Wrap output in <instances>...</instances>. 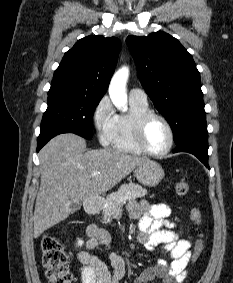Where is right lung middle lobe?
Here are the masks:
<instances>
[{
	"label": "right lung middle lobe",
	"mask_w": 233,
	"mask_h": 283,
	"mask_svg": "<svg viewBox=\"0 0 233 283\" xmlns=\"http://www.w3.org/2000/svg\"><path fill=\"white\" fill-rule=\"evenodd\" d=\"M100 100L65 88H50L39 136L62 131L91 139L94 109Z\"/></svg>",
	"instance_id": "obj_1"
}]
</instances>
